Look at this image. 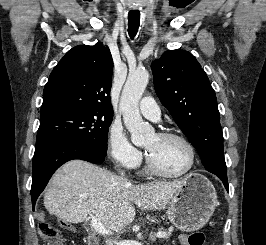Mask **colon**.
Returning <instances> with one entry per match:
<instances>
[{"mask_svg":"<svg viewBox=\"0 0 266 245\" xmlns=\"http://www.w3.org/2000/svg\"><path fill=\"white\" fill-rule=\"evenodd\" d=\"M38 230L45 245H65L57 229L48 218H44L38 224ZM185 245H204L205 233L203 231H193L184 236Z\"/></svg>","mask_w":266,"mask_h":245,"instance_id":"1","label":"colon"}]
</instances>
